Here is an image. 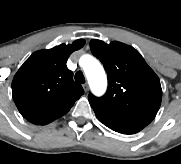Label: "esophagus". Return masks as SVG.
Listing matches in <instances>:
<instances>
[{"label":"esophagus","instance_id":"esophagus-1","mask_svg":"<svg viewBox=\"0 0 181 164\" xmlns=\"http://www.w3.org/2000/svg\"><path fill=\"white\" fill-rule=\"evenodd\" d=\"M82 86H83V89L85 92H87L89 90L88 84L85 83Z\"/></svg>","mask_w":181,"mask_h":164}]
</instances>
